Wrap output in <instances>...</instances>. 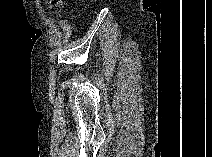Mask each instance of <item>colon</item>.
Returning <instances> with one entry per match:
<instances>
[{
  "label": "colon",
  "mask_w": 212,
  "mask_h": 157,
  "mask_svg": "<svg viewBox=\"0 0 212 157\" xmlns=\"http://www.w3.org/2000/svg\"><path fill=\"white\" fill-rule=\"evenodd\" d=\"M49 4L50 7L55 11H60L62 8V2L59 0H51Z\"/></svg>",
  "instance_id": "obj_1"
}]
</instances>
